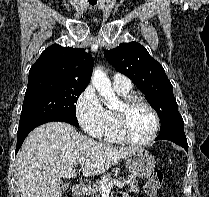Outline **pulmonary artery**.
Listing matches in <instances>:
<instances>
[{
    "label": "pulmonary artery",
    "mask_w": 209,
    "mask_h": 197,
    "mask_svg": "<svg viewBox=\"0 0 209 197\" xmlns=\"http://www.w3.org/2000/svg\"><path fill=\"white\" fill-rule=\"evenodd\" d=\"M113 86L117 90L129 91L132 88V83L128 77L123 74L115 73L112 77Z\"/></svg>",
    "instance_id": "e3ab8cb5"
}]
</instances>
